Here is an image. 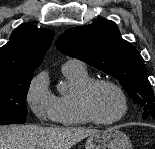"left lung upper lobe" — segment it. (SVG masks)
Masks as SVG:
<instances>
[{
  "label": "left lung upper lobe",
  "mask_w": 155,
  "mask_h": 149,
  "mask_svg": "<svg viewBox=\"0 0 155 149\" xmlns=\"http://www.w3.org/2000/svg\"><path fill=\"white\" fill-rule=\"evenodd\" d=\"M58 50L120 81L143 111V119H155V99L144 60L136 48L121 38L113 21L100 19L67 30L56 41Z\"/></svg>",
  "instance_id": "5c2ea615"
}]
</instances>
